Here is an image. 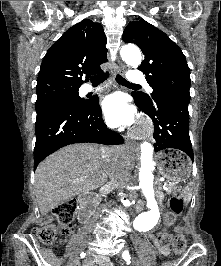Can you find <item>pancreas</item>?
Masks as SVG:
<instances>
[{"label":"pancreas","mask_w":221,"mask_h":266,"mask_svg":"<svg viewBox=\"0 0 221 266\" xmlns=\"http://www.w3.org/2000/svg\"><path fill=\"white\" fill-rule=\"evenodd\" d=\"M161 188H163L167 194H171L173 190V185H166L165 187L161 186Z\"/></svg>","instance_id":"obj_1"}]
</instances>
